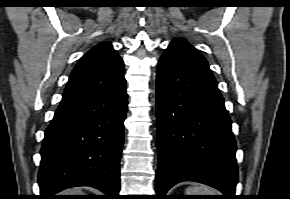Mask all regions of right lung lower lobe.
I'll list each match as a JSON object with an SVG mask.
<instances>
[{
    "label": "right lung lower lobe",
    "instance_id": "obj_1",
    "mask_svg": "<svg viewBox=\"0 0 290 199\" xmlns=\"http://www.w3.org/2000/svg\"><path fill=\"white\" fill-rule=\"evenodd\" d=\"M126 111L125 81L104 93L60 103L41 148L39 199H59L54 194L76 186L118 199Z\"/></svg>",
    "mask_w": 290,
    "mask_h": 199
}]
</instances>
